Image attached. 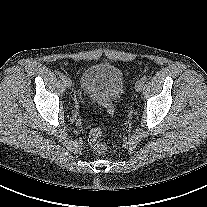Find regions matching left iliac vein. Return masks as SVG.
I'll list each match as a JSON object with an SVG mask.
<instances>
[{
    "instance_id": "left-iliac-vein-1",
    "label": "left iliac vein",
    "mask_w": 207,
    "mask_h": 207,
    "mask_svg": "<svg viewBox=\"0 0 207 207\" xmlns=\"http://www.w3.org/2000/svg\"><path fill=\"white\" fill-rule=\"evenodd\" d=\"M143 86H144V82L142 80L137 81L136 84H135L136 91L137 92L142 91Z\"/></svg>"
}]
</instances>
